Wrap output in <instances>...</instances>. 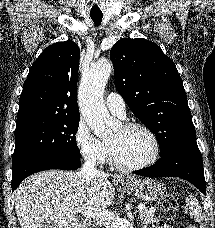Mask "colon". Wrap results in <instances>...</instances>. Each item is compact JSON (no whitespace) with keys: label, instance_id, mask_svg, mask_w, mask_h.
<instances>
[{"label":"colon","instance_id":"5ec220e1","mask_svg":"<svg viewBox=\"0 0 215 228\" xmlns=\"http://www.w3.org/2000/svg\"><path fill=\"white\" fill-rule=\"evenodd\" d=\"M177 209V203L172 194L163 195L158 202V211L161 216L158 220V228H175L174 220L164 217V213L174 212ZM189 228H196L195 225H190Z\"/></svg>","mask_w":215,"mask_h":228}]
</instances>
